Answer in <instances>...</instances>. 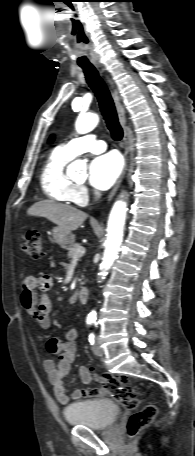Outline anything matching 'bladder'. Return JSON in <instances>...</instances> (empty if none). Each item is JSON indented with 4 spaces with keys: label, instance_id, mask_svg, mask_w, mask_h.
<instances>
[{
    "label": "bladder",
    "instance_id": "obj_1",
    "mask_svg": "<svg viewBox=\"0 0 195 456\" xmlns=\"http://www.w3.org/2000/svg\"><path fill=\"white\" fill-rule=\"evenodd\" d=\"M120 414V407L109 399L76 402L67 406L63 411L68 424L85 426L94 430L110 428Z\"/></svg>",
    "mask_w": 195,
    "mask_h": 456
}]
</instances>
